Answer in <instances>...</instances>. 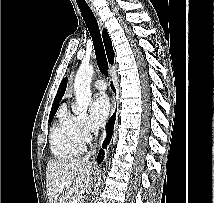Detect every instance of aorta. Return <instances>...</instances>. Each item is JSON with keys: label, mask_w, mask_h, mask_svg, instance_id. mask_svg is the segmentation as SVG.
<instances>
[{"label": "aorta", "mask_w": 214, "mask_h": 203, "mask_svg": "<svg viewBox=\"0 0 214 203\" xmlns=\"http://www.w3.org/2000/svg\"><path fill=\"white\" fill-rule=\"evenodd\" d=\"M93 73V66L89 64H81L76 73L74 91L76 94L77 107L73 112L77 115L87 112L92 95L90 84Z\"/></svg>", "instance_id": "aorta-1"}]
</instances>
